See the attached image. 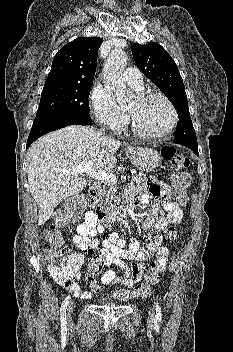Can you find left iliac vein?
Masks as SVG:
<instances>
[{"label": "left iliac vein", "instance_id": "left-iliac-vein-1", "mask_svg": "<svg viewBox=\"0 0 233 352\" xmlns=\"http://www.w3.org/2000/svg\"><path fill=\"white\" fill-rule=\"evenodd\" d=\"M154 318H155L154 310H153V308H150V309H149V322H150V323H153Z\"/></svg>", "mask_w": 233, "mask_h": 352}]
</instances>
